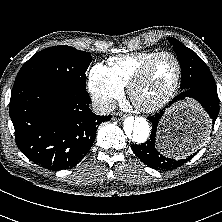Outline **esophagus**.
I'll return each mask as SVG.
<instances>
[{
  "label": "esophagus",
  "mask_w": 222,
  "mask_h": 222,
  "mask_svg": "<svg viewBox=\"0 0 222 222\" xmlns=\"http://www.w3.org/2000/svg\"><path fill=\"white\" fill-rule=\"evenodd\" d=\"M124 118V116L122 115V113L116 112L112 114V119L113 120H117L120 121Z\"/></svg>",
  "instance_id": "obj_1"
}]
</instances>
